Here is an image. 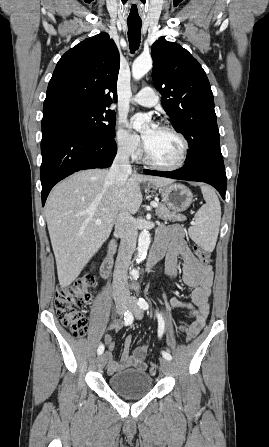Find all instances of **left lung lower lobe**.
Returning a JSON list of instances; mask_svg holds the SVG:
<instances>
[{
    "label": "left lung lower lobe",
    "instance_id": "left-lung-lower-lobe-1",
    "mask_svg": "<svg viewBox=\"0 0 269 447\" xmlns=\"http://www.w3.org/2000/svg\"><path fill=\"white\" fill-rule=\"evenodd\" d=\"M145 174L168 177L179 180L205 182L215 187L225 199L227 178L222 156L204 158L193 165L183 166L172 172L144 170Z\"/></svg>",
    "mask_w": 269,
    "mask_h": 447
}]
</instances>
